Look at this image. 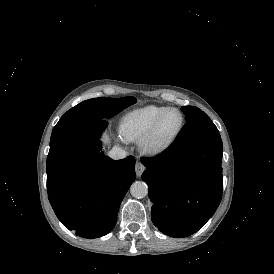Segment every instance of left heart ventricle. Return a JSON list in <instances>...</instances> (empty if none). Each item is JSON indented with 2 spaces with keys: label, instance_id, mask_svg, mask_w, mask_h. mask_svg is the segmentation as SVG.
<instances>
[{
  "label": "left heart ventricle",
  "instance_id": "obj_1",
  "mask_svg": "<svg viewBox=\"0 0 274 274\" xmlns=\"http://www.w3.org/2000/svg\"><path fill=\"white\" fill-rule=\"evenodd\" d=\"M182 117L180 113L174 111L170 112L163 120L157 135L153 139L154 146H162L166 141L174 135L180 128Z\"/></svg>",
  "mask_w": 274,
  "mask_h": 274
}]
</instances>
